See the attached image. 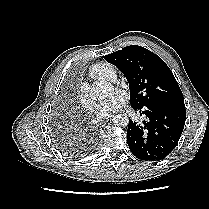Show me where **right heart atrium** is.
<instances>
[{
  "instance_id": "obj_1",
  "label": "right heart atrium",
  "mask_w": 209,
  "mask_h": 209,
  "mask_svg": "<svg viewBox=\"0 0 209 209\" xmlns=\"http://www.w3.org/2000/svg\"><path fill=\"white\" fill-rule=\"evenodd\" d=\"M77 98L83 109H85L86 111L94 110V104L89 97L88 90L86 87H81L79 89Z\"/></svg>"
}]
</instances>
